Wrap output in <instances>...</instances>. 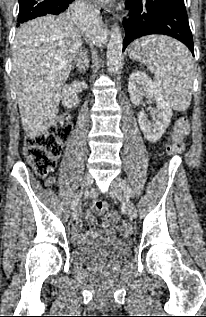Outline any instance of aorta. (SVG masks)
Returning a JSON list of instances; mask_svg holds the SVG:
<instances>
[{
  "label": "aorta",
  "instance_id": "obj_1",
  "mask_svg": "<svg viewBox=\"0 0 206 317\" xmlns=\"http://www.w3.org/2000/svg\"><path fill=\"white\" fill-rule=\"evenodd\" d=\"M80 25L87 34L97 35L99 33V20L95 15L85 10L80 18ZM123 39L121 29L118 25L112 27L110 40L107 45V66L110 74H115L122 60Z\"/></svg>",
  "mask_w": 206,
  "mask_h": 317
}]
</instances>
